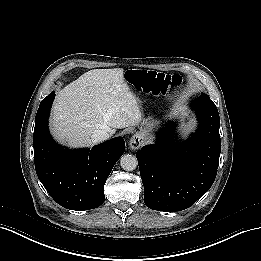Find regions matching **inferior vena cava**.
Segmentation results:
<instances>
[{"label":"inferior vena cava","mask_w":261,"mask_h":261,"mask_svg":"<svg viewBox=\"0 0 261 261\" xmlns=\"http://www.w3.org/2000/svg\"><path fill=\"white\" fill-rule=\"evenodd\" d=\"M109 137H110V134H109L108 130L98 129L93 132L91 138H92V142L94 144H97V143L107 140Z\"/></svg>","instance_id":"602c4592"}]
</instances>
